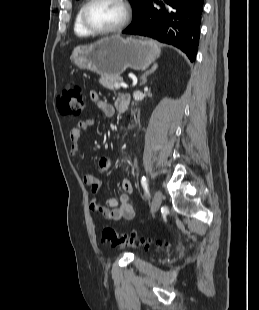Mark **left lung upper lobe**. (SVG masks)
<instances>
[{
    "instance_id": "5c2ea615",
    "label": "left lung upper lobe",
    "mask_w": 259,
    "mask_h": 310,
    "mask_svg": "<svg viewBox=\"0 0 259 310\" xmlns=\"http://www.w3.org/2000/svg\"><path fill=\"white\" fill-rule=\"evenodd\" d=\"M134 8V19L133 21L137 18L139 11L143 4L145 3L146 0H129Z\"/></svg>"
}]
</instances>
